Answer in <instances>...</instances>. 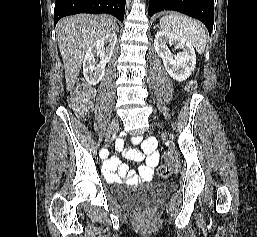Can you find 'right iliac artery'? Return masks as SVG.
<instances>
[{
  "label": "right iliac artery",
  "instance_id": "1",
  "mask_svg": "<svg viewBox=\"0 0 257 237\" xmlns=\"http://www.w3.org/2000/svg\"><path fill=\"white\" fill-rule=\"evenodd\" d=\"M107 155V151L105 149H102L100 151V156L105 157Z\"/></svg>",
  "mask_w": 257,
  "mask_h": 237
}]
</instances>
